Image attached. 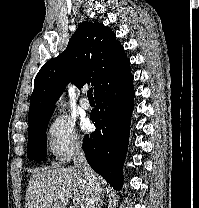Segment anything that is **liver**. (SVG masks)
Here are the masks:
<instances>
[{"mask_svg": "<svg viewBox=\"0 0 199 208\" xmlns=\"http://www.w3.org/2000/svg\"><path fill=\"white\" fill-rule=\"evenodd\" d=\"M102 192L105 180L97 175ZM75 207L83 208L89 198V184L75 167L48 169L34 172L26 190V208H65L69 199Z\"/></svg>", "mask_w": 199, "mask_h": 208, "instance_id": "1", "label": "liver"}]
</instances>
